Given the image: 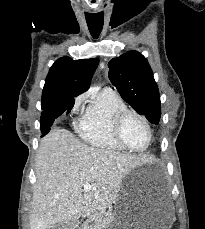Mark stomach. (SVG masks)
<instances>
[{
    "label": "stomach",
    "mask_w": 205,
    "mask_h": 229,
    "mask_svg": "<svg viewBox=\"0 0 205 229\" xmlns=\"http://www.w3.org/2000/svg\"><path fill=\"white\" fill-rule=\"evenodd\" d=\"M174 208L167 200L141 195L127 177L116 200V207L107 229H170Z\"/></svg>",
    "instance_id": "obj_1"
}]
</instances>
